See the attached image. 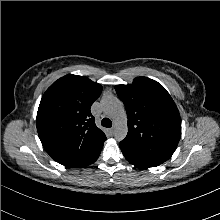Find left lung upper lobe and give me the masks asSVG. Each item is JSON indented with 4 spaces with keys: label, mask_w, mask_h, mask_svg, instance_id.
Listing matches in <instances>:
<instances>
[{
    "label": "left lung upper lobe",
    "mask_w": 220,
    "mask_h": 220,
    "mask_svg": "<svg viewBox=\"0 0 220 220\" xmlns=\"http://www.w3.org/2000/svg\"><path fill=\"white\" fill-rule=\"evenodd\" d=\"M115 90L128 117V134L120 146L160 164L167 161L181 137L180 114L167 90L146 77Z\"/></svg>",
    "instance_id": "1"
}]
</instances>
